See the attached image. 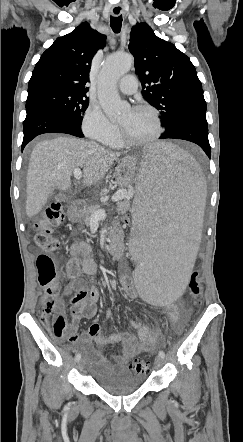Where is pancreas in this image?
Masks as SVG:
<instances>
[{
  "label": "pancreas",
  "mask_w": 243,
  "mask_h": 442,
  "mask_svg": "<svg viewBox=\"0 0 243 442\" xmlns=\"http://www.w3.org/2000/svg\"><path fill=\"white\" fill-rule=\"evenodd\" d=\"M130 202L128 200L121 201L117 203V211L120 213H125L129 210ZM99 209V206H91L86 210V216H85V225L89 226L91 221L92 214Z\"/></svg>",
  "instance_id": "pancreas-1"
}]
</instances>
